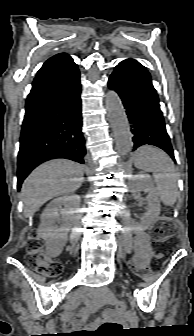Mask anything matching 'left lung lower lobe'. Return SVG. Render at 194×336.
<instances>
[{
  "instance_id": "obj_1",
  "label": "left lung lower lobe",
  "mask_w": 194,
  "mask_h": 336,
  "mask_svg": "<svg viewBox=\"0 0 194 336\" xmlns=\"http://www.w3.org/2000/svg\"><path fill=\"white\" fill-rule=\"evenodd\" d=\"M108 86L118 93L126 109L133 135V149L145 144L154 145L175 161L159 98L146 68L136 60H124L115 67Z\"/></svg>"
}]
</instances>
